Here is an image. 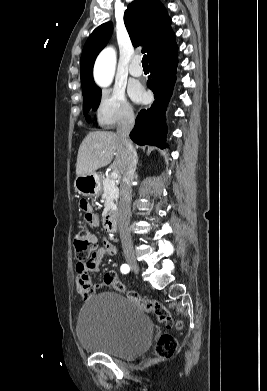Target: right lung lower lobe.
I'll use <instances>...</instances> for the list:
<instances>
[{"mask_svg":"<svg viewBox=\"0 0 267 391\" xmlns=\"http://www.w3.org/2000/svg\"><path fill=\"white\" fill-rule=\"evenodd\" d=\"M177 52L178 47L174 43L149 60L151 74L147 85L154 93L155 101L149 109L140 111L130 134L131 139L139 145L168 147L165 144L167 129L164 113L175 83Z\"/></svg>","mask_w":267,"mask_h":391,"instance_id":"98d812e1","label":"right lung lower lobe"}]
</instances>
